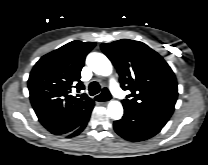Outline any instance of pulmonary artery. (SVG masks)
<instances>
[{
	"mask_svg": "<svg viewBox=\"0 0 208 165\" xmlns=\"http://www.w3.org/2000/svg\"><path fill=\"white\" fill-rule=\"evenodd\" d=\"M109 84L114 95H116L119 99H123L125 97L124 92L118 87L114 80H110Z\"/></svg>",
	"mask_w": 208,
	"mask_h": 165,
	"instance_id": "obj_1",
	"label": "pulmonary artery"
}]
</instances>
